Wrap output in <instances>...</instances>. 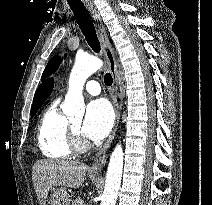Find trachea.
I'll use <instances>...</instances> for the list:
<instances>
[{"instance_id": "1", "label": "trachea", "mask_w": 212, "mask_h": 205, "mask_svg": "<svg viewBox=\"0 0 212 205\" xmlns=\"http://www.w3.org/2000/svg\"><path fill=\"white\" fill-rule=\"evenodd\" d=\"M72 9L76 22L78 23L83 35L89 46L95 51H100V43L96 35L94 24L91 20L88 10L83 4H69ZM104 83L107 86L112 85L113 79L110 73H106L104 76Z\"/></svg>"}]
</instances>
